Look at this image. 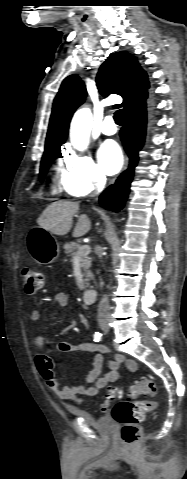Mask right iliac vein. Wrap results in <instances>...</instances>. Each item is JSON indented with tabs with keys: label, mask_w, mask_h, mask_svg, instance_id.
<instances>
[{
	"label": "right iliac vein",
	"mask_w": 187,
	"mask_h": 479,
	"mask_svg": "<svg viewBox=\"0 0 187 479\" xmlns=\"http://www.w3.org/2000/svg\"><path fill=\"white\" fill-rule=\"evenodd\" d=\"M100 327L105 332H107L109 330V324L107 322H101Z\"/></svg>",
	"instance_id": "63e3f726"
}]
</instances>
